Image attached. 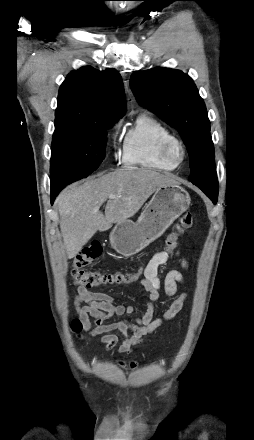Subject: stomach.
Masks as SVG:
<instances>
[{
	"instance_id": "stomach-1",
	"label": "stomach",
	"mask_w": 254,
	"mask_h": 440,
	"mask_svg": "<svg viewBox=\"0 0 254 440\" xmlns=\"http://www.w3.org/2000/svg\"><path fill=\"white\" fill-rule=\"evenodd\" d=\"M189 193L176 184L159 187L136 222L117 223L110 233L112 248L132 256L159 238L190 205Z\"/></svg>"
}]
</instances>
